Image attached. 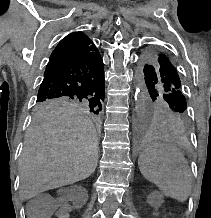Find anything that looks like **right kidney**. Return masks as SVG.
I'll return each mask as SVG.
<instances>
[{"label":"right kidney","instance_id":"obj_1","mask_svg":"<svg viewBox=\"0 0 211 218\" xmlns=\"http://www.w3.org/2000/svg\"><path fill=\"white\" fill-rule=\"evenodd\" d=\"M54 202H61L62 198L60 197H54L53 198ZM62 206V213L63 215H60L59 218H72V215H68V214H72L73 213V206L71 201H64Z\"/></svg>","mask_w":211,"mask_h":218}]
</instances>
